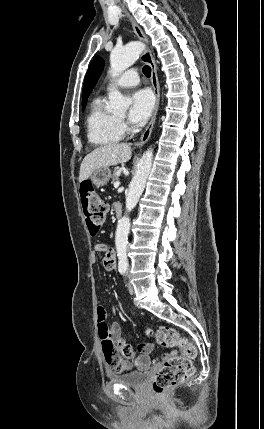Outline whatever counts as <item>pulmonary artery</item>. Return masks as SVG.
Here are the masks:
<instances>
[{"label":"pulmonary artery","mask_w":264,"mask_h":429,"mask_svg":"<svg viewBox=\"0 0 264 429\" xmlns=\"http://www.w3.org/2000/svg\"><path fill=\"white\" fill-rule=\"evenodd\" d=\"M139 83V75L138 72L134 69H130L123 74H121L117 79L110 81L106 88L108 90L113 89L115 87H132L136 86Z\"/></svg>","instance_id":"pulmonary-artery-1"}]
</instances>
